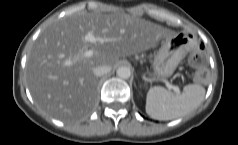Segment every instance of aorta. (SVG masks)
<instances>
[{
    "instance_id": "obj_1",
    "label": "aorta",
    "mask_w": 238,
    "mask_h": 145,
    "mask_svg": "<svg viewBox=\"0 0 238 145\" xmlns=\"http://www.w3.org/2000/svg\"><path fill=\"white\" fill-rule=\"evenodd\" d=\"M116 74L122 79H128L131 76V70L127 66H121L117 69Z\"/></svg>"
}]
</instances>
